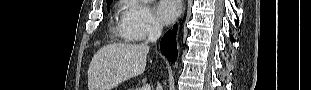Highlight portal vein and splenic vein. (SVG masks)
Wrapping results in <instances>:
<instances>
[{
    "mask_svg": "<svg viewBox=\"0 0 311 90\" xmlns=\"http://www.w3.org/2000/svg\"><path fill=\"white\" fill-rule=\"evenodd\" d=\"M150 85L149 84H145L144 86H142L141 90H150Z\"/></svg>",
    "mask_w": 311,
    "mask_h": 90,
    "instance_id": "portal-vein-and-splenic-vein-1",
    "label": "portal vein and splenic vein"
}]
</instances>
